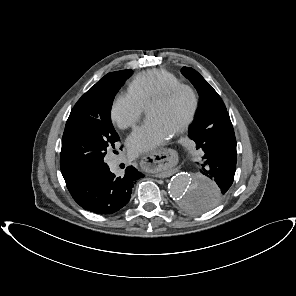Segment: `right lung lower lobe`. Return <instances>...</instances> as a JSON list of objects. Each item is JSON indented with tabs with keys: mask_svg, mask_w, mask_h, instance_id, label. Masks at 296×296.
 <instances>
[{
	"mask_svg": "<svg viewBox=\"0 0 296 296\" xmlns=\"http://www.w3.org/2000/svg\"><path fill=\"white\" fill-rule=\"evenodd\" d=\"M142 177L144 175L134 167L127 168L123 177H116L103 163L65 182L82 208L97 214H112L127 205L135 182Z\"/></svg>",
	"mask_w": 296,
	"mask_h": 296,
	"instance_id": "98d812e1",
	"label": "right lung lower lobe"
}]
</instances>
